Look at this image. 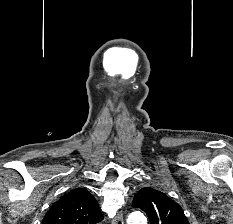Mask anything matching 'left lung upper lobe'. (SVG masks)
Returning a JSON list of instances; mask_svg holds the SVG:
<instances>
[{
	"label": "left lung upper lobe",
	"mask_w": 233,
	"mask_h": 224,
	"mask_svg": "<svg viewBox=\"0 0 233 224\" xmlns=\"http://www.w3.org/2000/svg\"><path fill=\"white\" fill-rule=\"evenodd\" d=\"M133 207L143 210L150 224H189L178 203L150 187L142 188L137 192Z\"/></svg>",
	"instance_id": "obj_1"
}]
</instances>
